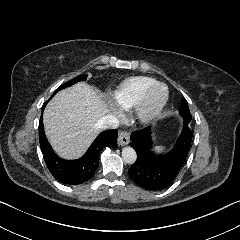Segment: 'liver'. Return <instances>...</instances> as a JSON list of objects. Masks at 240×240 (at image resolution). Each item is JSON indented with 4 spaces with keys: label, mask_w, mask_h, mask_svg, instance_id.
<instances>
[{
    "label": "liver",
    "mask_w": 240,
    "mask_h": 240,
    "mask_svg": "<svg viewBox=\"0 0 240 240\" xmlns=\"http://www.w3.org/2000/svg\"><path fill=\"white\" fill-rule=\"evenodd\" d=\"M98 89L85 82L59 91L48 103L43 123L53 150L62 158L82 156L98 133L97 121L110 113Z\"/></svg>",
    "instance_id": "1"
}]
</instances>
